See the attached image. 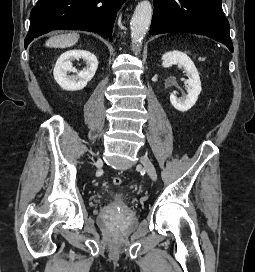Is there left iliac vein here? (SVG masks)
<instances>
[{"instance_id": "obj_1", "label": "left iliac vein", "mask_w": 255, "mask_h": 272, "mask_svg": "<svg viewBox=\"0 0 255 272\" xmlns=\"http://www.w3.org/2000/svg\"><path fill=\"white\" fill-rule=\"evenodd\" d=\"M140 162L143 165L146 172L148 173V175L150 176V178L155 181L157 179V174L155 167L153 163L150 161V159L146 155H143L140 159Z\"/></svg>"}]
</instances>
